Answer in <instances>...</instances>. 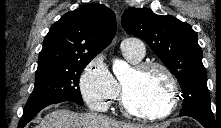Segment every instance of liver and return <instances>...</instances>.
Returning a JSON list of instances; mask_svg holds the SVG:
<instances>
[{"label": "liver", "instance_id": "1", "mask_svg": "<svg viewBox=\"0 0 221 128\" xmlns=\"http://www.w3.org/2000/svg\"><path fill=\"white\" fill-rule=\"evenodd\" d=\"M36 128H167V124L122 123L95 112L80 114L68 109H57L48 113Z\"/></svg>", "mask_w": 221, "mask_h": 128}]
</instances>
